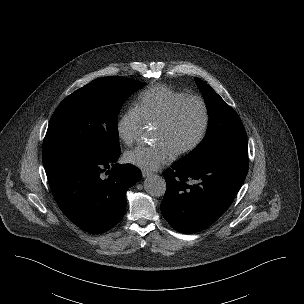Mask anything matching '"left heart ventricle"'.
Returning a JSON list of instances; mask_svg holds the SVG:
<instances>
[{"instance_id": "1", "label": "left heart ventricle", "mask_w": 304, "mask_h": 304, "mask_svg": "<svg viewBox=\"0 0 304 304\" xmlns=\"http://www.w3.org/2000/svg\"><path fill=\"white\" fill-rule=\"evenodd\" d=\"M202 121L198 103L187 102L180 107L167 128L156 127L155 143L166 144L174 152L189 144L197 135Z\"/></svg>"}]
</instances>
